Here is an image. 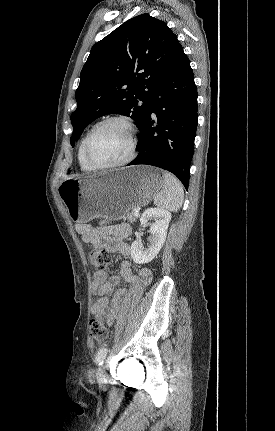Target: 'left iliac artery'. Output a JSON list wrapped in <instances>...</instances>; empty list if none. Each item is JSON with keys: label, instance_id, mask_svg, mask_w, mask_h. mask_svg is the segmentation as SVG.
<instances>
[{"label": "left iliac artery", "instance_id": "1", "mask_svg": "<svg viewBox=\"0 0 275 431\" xmlns=\"http://www.w3.org/2000/svg\"><path fill=\"white\" fill-rule=\"evenodd\" d=\"M108 352H109V349H108L107 347H103V348H101V349L97 352V355H96V363H97L98 365H102V364H103V362H104V360H105V358H106V356H107Z\"/></svg>", "mask_w": 275, "mask_h": 431}]
</instances>
